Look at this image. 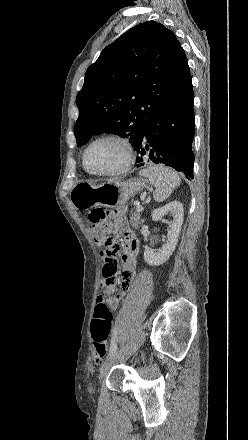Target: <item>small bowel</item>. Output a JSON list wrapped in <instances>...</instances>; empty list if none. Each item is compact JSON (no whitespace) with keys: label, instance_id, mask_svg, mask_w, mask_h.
Segmentation results:
<instances>
[{"label":"small bowel","instance_id":"small-bowel-1","mask_svg":"<svg viewBox=\"0 0 248 440\" xmlns=\"http://www.w3.org/2000/svg\"><path fill=\"white\" fill-rule=\"evenodd\" d=\"M114 222L117 227L124 231L125 250L123 254V262L119 257H104L101 261L102 278L100 287L108 294V297L100 295L96 302L105 303L109 309L116 310L124 291L129 288L131 279L136 270V256L139 251V241L126 226L124 210H117L114 213ZM122 270V271H121ZM121 271V272H120ZM121 286L122 291L116 293ZM113 294V295H112Z\"/></svg>","mask_w":248,"mask_h":440}]
</instances>
